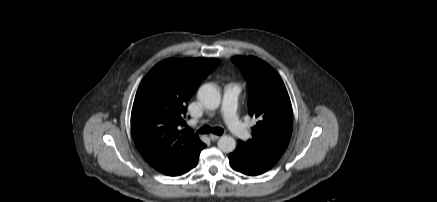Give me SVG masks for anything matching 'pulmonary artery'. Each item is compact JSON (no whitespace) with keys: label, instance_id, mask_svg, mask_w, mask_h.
I'll list each match as a JSON object with an SVG mask.
<instances>
[{"label":"pulmonary artery","instance_id":"1","mask_svg":"<svg viewBox=\"0 0 437 202\" xmlns=\"http://www.w3.org/2000/svg\"><path fill=\"white\" fill-rule=\"evenodd\" d=\"M240 91V87L235 84H229L225 87L222 101V113L231 132L238 138L245 140L249 137V131L238 119L236 114Z\"/></svg>","mask_w":437,"mask_h":202}]
</instances>
